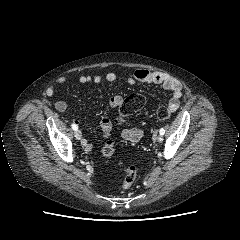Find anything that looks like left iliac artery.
<instances>
[{
    "label": "left iliac artery",
    "mask_w": 240,
    "mask_h": 240,
    "mask_svg": "<svg viewBox=\"0 0 240 240\" xmlns=\"http://www.w3.org/2000/svg\"><path fill=\"white\" fill-rule=\"evenodd\" d=\"M159 133H160V135H164L165 134V130L163 128H161Z\"/></svg>",
    "instance_id": "left-iliac-artery-1"
}]
</instances>
